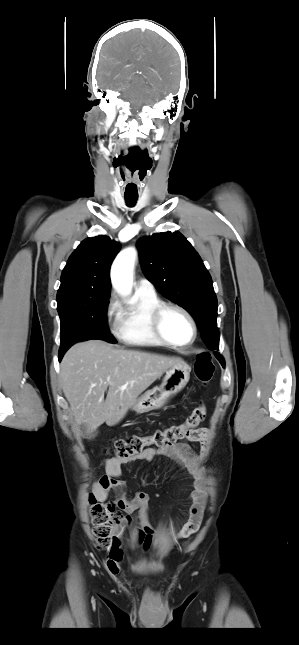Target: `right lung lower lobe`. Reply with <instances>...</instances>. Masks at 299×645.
I'll use <instances>...</instances> for the list:
<instances>
[{
    "mask_svg": "<svg viewBox=\"0 0 299 645\" xmlns=\"http://www.w3.org/2000/svg\"><path fill=\"white\" fill-rule=\"evenodd\" d=\"M63 355H64V353L59 354V361L62 359Z\"/></svg>",
    "mask_w": 299,
    "mask_h": 645,
    "instance_id": "right-lung-lower-lobe-1",
    "label": "right lung lower lobe"
}]
</instances>
